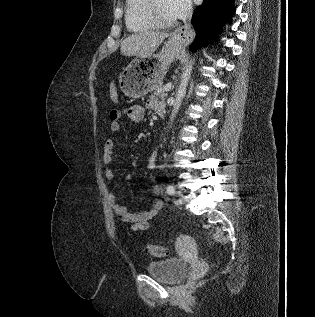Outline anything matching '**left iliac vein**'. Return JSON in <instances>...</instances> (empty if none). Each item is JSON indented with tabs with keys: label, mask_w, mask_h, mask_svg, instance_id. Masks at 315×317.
<instances>
[{
	"label": "left iliac vein",
	"mask_w": 315,
	"mask_h": 317,
	"mask_svg": "<svg viewBox=\"0 0 315 317\" xmlns=\"http://www.w3.org/2000/svg\"><path fill=\"white\" fill-rule=\"evenodd\" d=\"M175 196L177 198L175 203L177 205H181L183 203V196H182L181 192L180 191H176Z\"/></svg>",
	"instance_id": "obj_1"
}]
</instances>
